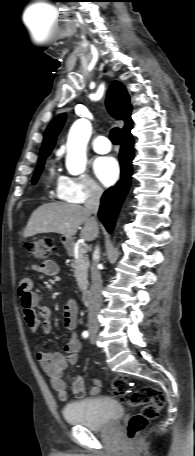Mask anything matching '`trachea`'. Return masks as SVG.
<instances>
[{"label": "trachea", "mask_w": 195, "mask_h": 456, "mask_svg": "<svg viewBox=\"0 0 195 456\" xmlns=\"http://www.w3.org/2000/svg\"><path fill=\"white\" fill-rule=\"evenodd\" d=\"M121 139V132L118 127L113 128L110 131V140L113 144L118 145Z\"/></svg>", "instance_id": "1"}]
</instances>
